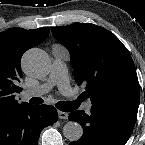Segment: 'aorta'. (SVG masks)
<instances>
[{"label": "aorta", "mask_w": 145, "mask_h": 145, "mask_svg": "<svg viewBox=\"0 0 145 145\" xmlns=\"http://www.w3.org/2000/svg\"><path fill=\"white\" fill-rule=\"evenodd\" d=\"M25 73L32 77L43 78L50 72L51 63L48 55L41 49L32 48L22 58ZM63 134L69 141H77L83 135V128L77 122H68L63 127Z\"/></svg>", "instance_id": "obj_1"}]
</instances>
